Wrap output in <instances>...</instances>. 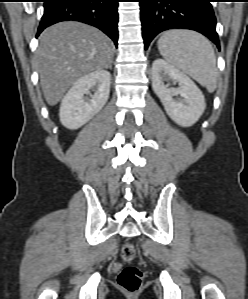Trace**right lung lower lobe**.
<instances>
[{
    "mask_svg": "<svg viewBox=\"0 0 248 299\" xmlns=\"http://www.w3.org/2000/svg\"><path fill=\"white\" fill-rule=\"evenodd\" d=\"M119 0H44V14L37 36L48 26L60 21H80L95 26L117 46Z\"/></svg>",
    "mask_w": 248,
    "mask_h": 299,
    "instance_id": "1",
    "label": "right lung lower lobe"
}]
</instances>
